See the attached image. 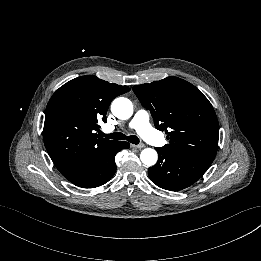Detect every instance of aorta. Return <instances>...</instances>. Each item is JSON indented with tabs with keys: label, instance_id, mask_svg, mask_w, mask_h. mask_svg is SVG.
<instances>
[{
	"label": "aorta",
	"instance_id": "aorta-1",
	"mask_svg": "<svg viewBox=\"0 0 261 261\" xmlns=\"http://www.w3.org/2000/svg\"><path fill=\"white\" fill-rule=\"evenodd\" d=\"M111 111L114 116L121 120H127L133 115L132 102L124 97L116 98L111 104ZM142 163L146 166H153L158 159L157 152L152 148H145L140 154Z\"/></svg>",
	"mask_w": 261,
	"mask_h": 261
}]
</instances>
